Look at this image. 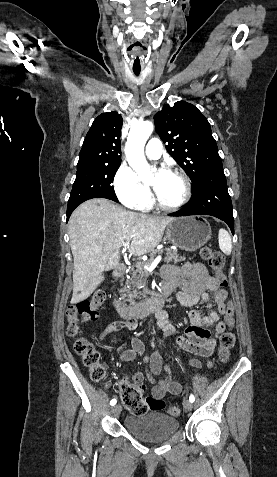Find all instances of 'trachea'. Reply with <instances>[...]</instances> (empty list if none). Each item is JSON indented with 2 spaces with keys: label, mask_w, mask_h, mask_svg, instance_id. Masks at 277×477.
I'll return each instance as SVG.
<instances>
[{
  "label": "trachea",
  "mask_w": 277,
  "mask_h": 477,
  "mask_svg": "<svg viewBox=\"0 0 277 477\" xmlns=\"http://www.w3.org/2000/svg\"><path fill=\"white\" fill-rule=\"evenodd\" d=\"M134 74L138 76L140 74V71H134Z\"/></svg>",
  "instance_id": "obj_1"
}]
</instances>
